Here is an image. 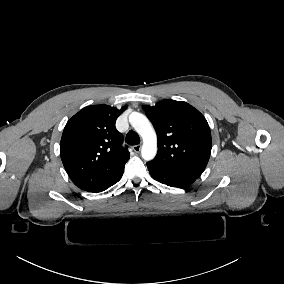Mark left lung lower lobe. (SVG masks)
Returning <instances> with one entry per match:
<instances>
[{
    "mask_svg": "<svg viewBox=\"0 0 284 284\" xmlns=\"http://www.w3.org/2000/svg\"><path fill=\"white\" fill-rule=\"evenodd\" d=\"M147 167H148V170L151 176L155 180L163 184H166L168 186H171V187L183 188V187H186L192 184L196 180V178H193V177H188L184 175H178V174L167 172L149 163H147Z\"/></svg>",
    "mask_w": 284,
    "mask_h": 284,
    "instance_id": "1",
    "label": "left lung lower lobe"
}]
</instances>
